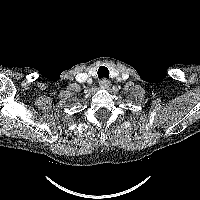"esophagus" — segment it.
Segmentation results:
<instances>
[{
    "label": "esophagus",
    "instance_id": "1",
    "mask_svg": "<svg viewBox=\"0 0 200 200\" xmlns=\"http://www.w3.org/2000/svg\"><path fill=\"white\" fill-rule=\"evenodd\" d=\"M99 85L102 89H107L110 86V81L104 78L100 80Z\"/></svg>",
    "mask_w": 200,
    "mask_h": 200
}]
</instances>
